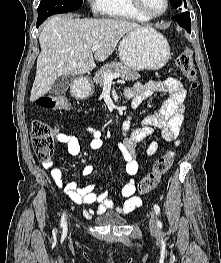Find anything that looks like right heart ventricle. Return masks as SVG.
Masks as SVG:
<instances>
[{
	"label": "right heart ventricle",
	"mask_w": 221,
	"mask_h": 263,
	"mask_svg": "<svg viewBox=\"0 0 221 263\" xmlns=\"http://www.w3.org/2000/svg\"><path fill=\"white\" fill-rule=\"evenodd\" d=\"M101 13L118 19L147 20L135 9L131 0H101Z\"/></svg>",
	"instance_id": "right-heart-ventricle-1"
}]
</instances>
